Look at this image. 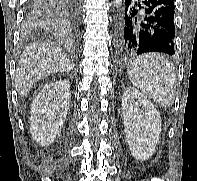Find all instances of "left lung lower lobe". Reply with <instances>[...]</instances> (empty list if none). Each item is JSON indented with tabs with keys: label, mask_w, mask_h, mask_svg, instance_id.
Segmentation results:
<instances>
[{
	"label": "left lung lower lobe",
	"mask_w": 197,
	"mask_h": 181,
	"mask_svg": "<svg viewBox=\"0 0 197 181\" xmlns=\"http://www.w3.org/2000/svg\"><path fill=\"white\" fill-rule=\"evenodd\" d=\"M174 0H125L116 41L121 59L149 52L175 53Z\"/></svg>",
	"instance_id": "0a47b994"
}]
</instances>
